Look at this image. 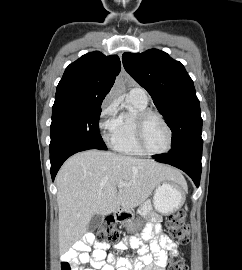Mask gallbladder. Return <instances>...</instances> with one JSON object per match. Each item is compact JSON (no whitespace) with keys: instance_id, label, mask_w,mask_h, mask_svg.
I'll use <instances>...</instances> for the list:
<instances>
[{"instance_id":"1","label":"gallbladder","mask_w":242,"mask_h":270,"mask_svg":"<svg viewBox=\"0 0 242 270\" xmlns=\"http://www.w3.org/2000/svg\"><path fill=\"white\" fill-rule=\"evenodd\" d=\"M103 219H104L103 215L95 214L89 223L88 229L90 231L96 229L97 227L101 225V223L103 222Z\"/></svg>"}]
</instances>
